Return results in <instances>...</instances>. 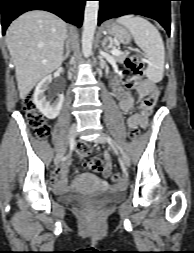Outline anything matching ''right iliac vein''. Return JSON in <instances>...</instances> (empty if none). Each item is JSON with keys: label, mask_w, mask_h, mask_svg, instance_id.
Instances as JSON below:
<instances>
[{"label": "right iliac vein", "mask_w": 194, "mask_h": 253, "mask_svg": "<svg viewBox=\"0 0 194 253\" xmlns=\"http://www.w3.org/2000/svg\"><path fill=\"white\" fill-rule=\"evenodd\" d=\"M76 134H77V128H76V125L73 124V125H71V127H70V129H69V133H68L69 140H70V139H74L75 136H76ZM64 153H65V148L61 149V150L57 153V155H56V157H55V159H54L55 165H59V163L61 162V160H62V158H63Z\"/></svg>", "instance_id": "right-iliac-vein-1"}]
</instances>
